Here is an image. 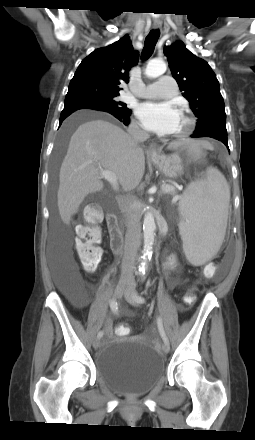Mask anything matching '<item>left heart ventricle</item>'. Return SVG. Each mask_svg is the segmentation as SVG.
<instances>
[{"label": "left heart ventricle", "mask_w": 255, "mask_h": 440, "mask_svg": "<svg viewBox=\"0 0 255 440\" xmlns=\"http://www.w3.org/2000/svg\"><path fill=\"white\" fill-rule=\"evenodd\" d=\"M183 126H184V120H183V117L180 115V117H179V122H178V126H177V129H176V132H178L179 130H181Z\"/></svg>", "instance_id": "b2bd125f"}]
</instances>
